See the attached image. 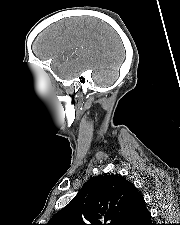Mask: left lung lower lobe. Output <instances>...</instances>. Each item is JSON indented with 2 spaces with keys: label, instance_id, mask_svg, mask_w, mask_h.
<instances>
[{
  "label": "left lung lower lobe",
  "instance_id": "left-lung-lower-lobe-1",
  "mask_svg": "<svg viewBox=\"0 0 180 225\" xmlns=\"http://www.w3.org/2000/svg\"><path fill=\"white\" fill-rule=\"evenodd\" d=\"M124 225H154L146 206L129 218Z\"/></svg>",
  "mask_w": 180,
  "mask_h": 225
}]
</instances>
